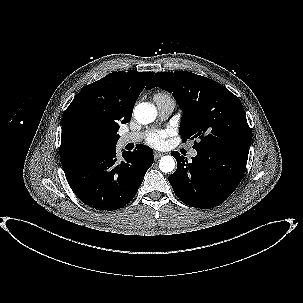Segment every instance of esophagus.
<instances>
[{
  "mask_svg": "<svg viewBox=\"0 0 303 303\" xmlns=\"http://www.w3.org/2000/svg\"><path fill=\"white\" fill-rule=\"evenodd\" d=\"M161 156H163V153H161V152H154V158L155 159H158V158H160Z\"/></svg>",
  "mask_w": 303,
  "mask_h": 303,
  "instance_id": "esophagus-1",
  "label": "esophagus"
}]
</instances>
